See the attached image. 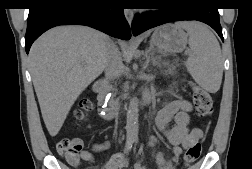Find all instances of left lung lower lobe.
Returning <instances> with one entry per match:
<instances>
[{
	"mask_svg": "<svg viewBox=\"0 0 252 169\" xmlns=\"http://www.w3.org/2000/svg\"><path fill=\"white\" fill-rule=\"evenodd\" d=\"M161 11L135 15L132 23L134 36L153 27L181 20H196L211 26L223 41L219 12L215 0H168Z\"/></svg>",
	"mask_w": 252,
	"mask_h": 169,
	"instance_id": "0a47b994",
	"label": "left lung lower lobe"
}]
</instances>
